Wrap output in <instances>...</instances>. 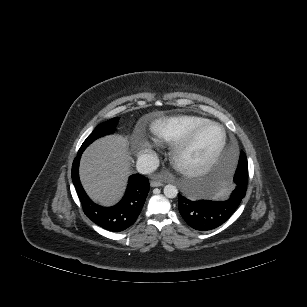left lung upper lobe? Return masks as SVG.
Returning <instances> with one entry per match:
<instances>
[{
	"label": "left lung upper lobe",
	"instance_id": "left-lung-upper-lobe-1",
	"mask_svg": "<svg viewBox=\"0 0 307 307\" xmlns=\"http://www.w3.org/2000/svg\"><path fill=\"white\" fill-rule=\"evenodd\" d=\"M234 179L238 182V181H242V183H244V185L247 184L248 181V172L247 171H243L239 168V166L237 167V170L235 172L234 175Z\"/></svg>",
	"mask_w": 307,
	"mask_h": 307
}]
</instances>
